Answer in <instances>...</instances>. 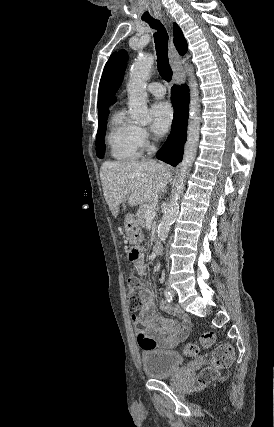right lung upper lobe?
<instances>
[{"label":"right lung upper lobe","mask_w":274,"mask_h":427,"mask_svg":"<svg viewBox=\"0 0 274 427\" xmlns=\"http://www.w3.org/2000/svg\"><path fill=\"white\" fill-rule=\"evenodd\" d=\"M173 31H174V44H175L179 54L184 55L187 51V42L183 36V33H182L180 27L176 23L173 24ZM114 55H115V53H113L111 55V57L109 58L106 66L104 68L103 75L101 78V82H100V86H99V94H98V113H102V112L109 110L108 107L103 103V100L101 97V86H102V81L104 78L105 71L108 68V66L110 65Z\"/></svg>","instance_id":"1"}]
</instances>
